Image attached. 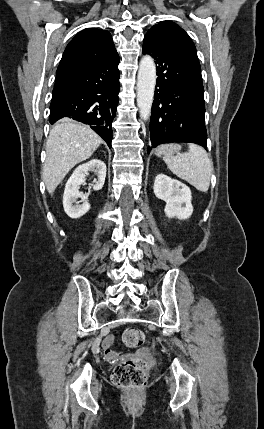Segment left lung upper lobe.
Returning a JSON list of instances; mask_svg holds the SVG:
<instances>
[{"label":"left lung upper lobe","instance_id":"left-lung-upper-lobe-1","mask_svg":"<svg viewBox=\"0 0 264 429\" xmlns=\"http://www.w3.org/2000/svg\"><path fill=\"white\" fill-rule=\"evenodd\" d=\"M148 32H157L162 35H166L177 42L184 45L188 51H190L195 58L196 62L199 64L196 48L188 34L177 24L171 21H164L157 25H154ZM200 65V64H199Z\"/></svg>","mask_w":264,"mask_h":429}]
</instances>
